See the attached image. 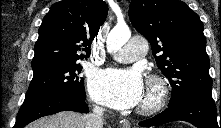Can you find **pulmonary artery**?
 <instances>
[{
	"label": "pulmonary artery",
	"mask_w": 221,
	"mask_h": 128,
	"mask_svg": "<svg viewBox=\"0 0 221 128\" xmlns=\"http://www.w3.org/2000/svg\"><path fill=\"white\" fill-rule=\"evenodd\" d=\"M147 42L141 38L128 41L122 49L114 56L121 63H129L142 56L147 51Z\"/></svg>",
	"instance_id": "obj_1"
}]
</instances>
